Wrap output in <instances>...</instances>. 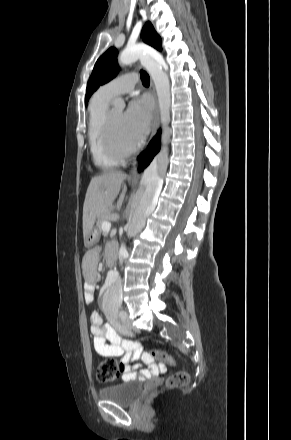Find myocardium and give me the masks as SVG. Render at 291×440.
Masks as SVG:
<instances>
[{"mask_svg": "<svg viewBox=\"0 0 291 440\" xmlns=\"http://www.w3.org/2000/svg\"><path fill=\"white\" fill-rule=\"evenodd\" d=\"M102 137L104 141V145L108 154L119 161H123L130 157L137 149L138 144L134 143L132 146L128 148H120L116 145L113 138V126H112V114L111 112L107 113L103 127H102Z\"/></svg>", "mask_w": 291, "mask_h": 440, "instance_id": "f54148a6", "label": "myocardium"}]
</instances>
